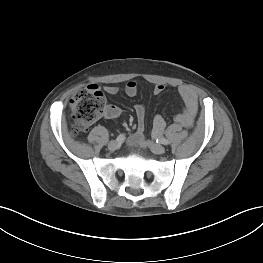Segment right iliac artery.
Returning <instances> with one entry per match:
<instances>
[{
    "label": "right iliac artery",
    "mask_w": 263,
    "mask_h": 263,
    "mask_svg": "<svg viewBox=\"0 0 263 263\" xmlns=\"http://www.w3.org/2000/svg\"><path fill=\"white\" fill-rule=\"evenodd\" d=\"M125 139V135L124 134H120L117 138H116V141L118 143H122Z\"/></svg>",
    "instance_id": "right-iliac-artery-1"
}]
</instances>
